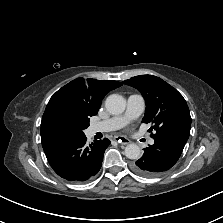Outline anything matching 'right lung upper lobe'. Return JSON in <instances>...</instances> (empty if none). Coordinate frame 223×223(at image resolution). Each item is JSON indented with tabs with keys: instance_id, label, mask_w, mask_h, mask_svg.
I'll list each match as a JSON object with an SVG mask.
<instances>
[{
	"instance_id": "1",
	"label": "right lung upper lobe",
	"mask_w": 223,
	"mask_h": 223,
	"mask_svg": "<svg viewBox=\"0 0 223 223\" xmlns=\"http://www.w3.org/2000/svg\"><path fill=\"white\" fill-rule=\"evenodd\" d=\"M122 84L112 80L77 78L59 89L49 100L41 122L43 149L61 141L80 138L72 131L73 119L97 114L104 96Z\"/></svg>"
}]
</instances>
